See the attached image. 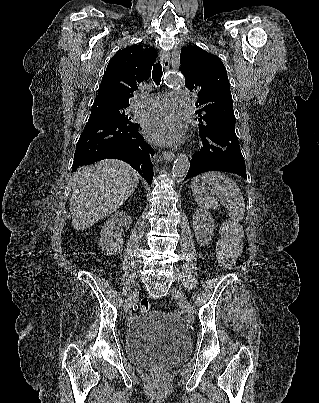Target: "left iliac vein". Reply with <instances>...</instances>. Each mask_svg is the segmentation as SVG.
<instances>
[{
	"label": "left iliac vein",
	"mask_w": 319,
	"mask_h": 403,
	"mask_svg": "<svg viewBox=\"0 0 319 403\" xmlns=\"http://www.w3.org/2000/svg\"><path fill=\"white\" fill-rule=\"evenodd\" d=\"M171 292L176 302L180 305L187 321L189 323H193L194 310L190 302L184 297L183 293L180 290L173 288Z\"/></svg>",
	"instance_id": "1"
}]
</instances>
